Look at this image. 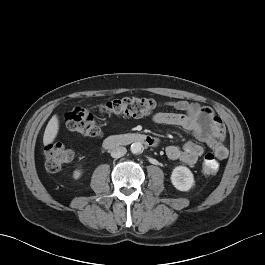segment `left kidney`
Masks as SVG:
<instances>
[{
    "label": "left kidney",
    "instance_id": "5707ae66",
    "mask_svg": "<svg viewBox=\"0 0 265 265\" xmlns=\"http://www.w3.org/2000/svg\"><path fill=\"white\" fill-rule=\"evenodd\" d=\"M171 182L173 186L180 191H188L195 184L192 172L185 166H177L173 169Z\"/></svg>",
    "mask_w": 265,
    "mask_h": 265
}]
</instances>
